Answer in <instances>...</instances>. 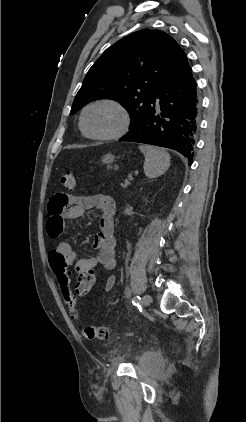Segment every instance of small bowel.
<instances>
[{
  "mask_svg": "<svg viewBox=\"0 0 246 422\" xmlns=\"http://www.w3.org/2000/svg\"><path fill=\"white\" fill-rule=\"evenodd\" d=\"M90 209H97L101 212L99 220L100 231L93 240L96 254L92 257H81L74 251L71 244L66 241L59 242L55 248L65 256L69 265H74L78 274L89 269H95L97 266H102L107 270L115 268V200L102 194L73 196L57 193L51 197L49 202L47 232L52 239H57L62 234L66 221L78 219L86 210ZM115 283V276H109L105 282L104 289L106 291L112 290Z\"/></svg>",
  "mask_w": 246,
  "mask_h": 422,
  "instance_id": "c3829d8e",
  "label": "small bowel"
}]
</instances>
